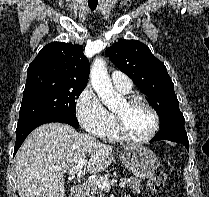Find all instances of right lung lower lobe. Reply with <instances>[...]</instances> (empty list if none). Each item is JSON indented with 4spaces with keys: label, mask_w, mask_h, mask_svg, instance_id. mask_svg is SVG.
<instances>
[{
    "label": "right lung lower lobe",
    "mask_w": 209,
    "mask_h": 197,
    "mask_svg": "<svg viewBox=\"0 0 209 197\" xmlns=\"http://www.w3.org/2000/svg\"><path fill=\"white\" fill-rule=\"evenodd\" d=\"M50 122H61V123H67L71 126H78L79 123L77 120L65 117V116H59V115H49V116H43L36 119H32L23 123H20L17 125L16 129V143L14 147V155L18 151L19 147L25 140V138L28 136V134L35 129L36 127L50 123Z\"/></svg>",
    "instance_id": "98d812e1"
}]
</instances>
